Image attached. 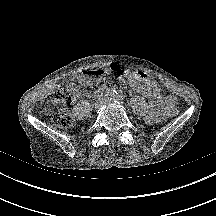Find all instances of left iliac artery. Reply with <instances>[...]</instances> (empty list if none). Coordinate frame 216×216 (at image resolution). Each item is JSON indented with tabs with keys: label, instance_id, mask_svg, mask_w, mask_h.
I'll return each instance as SVG.
<instances>
[{
	"label": "left iliac artery",
	"instance_id": "left-iliac-artery-1",
	"mask_svg": "<svg viewBox=\"0 0 216 216\" xmlns=\"http://www.w3.org/2000/svg\"><path fill=\"white\" fill-rule=\"evenodd\" d=\"M114 102L118 103V104H122L124 103V97L121 95H118V93L116 92V95L114 97Z\"/></svg>",
	"mask_w": 216,
	"mask_h": 216
}]
</instances>
